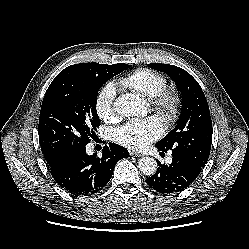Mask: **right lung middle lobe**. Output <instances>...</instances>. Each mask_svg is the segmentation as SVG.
Wrapping results in <instances>:
<instances>
[{"mask_svg":"<svg viewBox=\"0 0 249 249\" xmlns=\"http://www.w3.org/2000/svg\"><path fill=\"white\" fill-rule=\"evenodd\" d=\"M127 64L80 63L62 70L44 96L39 117V141L44 157L70 155L86 148L99 126L97 94Z\"/></svg>","mask_w":249,"mask_h":249,"instance_id":"1","label":"right lung middle lobe"}]
</instances>
